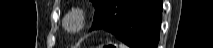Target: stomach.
<instances>
[{
  "label": "stomach",
  "instance_id": "0dacf381",
  "mask_svg": "<svg viewBox=\"0 0 213 48\" xmlns=\"http://www.w3.org/2000/svg\"><path fill=\"white\" fill-rule=\"evenodd\" d=\"M104 47V45H100L99 47H97V48H103Z\"/></svg>",
  "mask_w": 213,
  "mask_h": 48
}]
</instances>
